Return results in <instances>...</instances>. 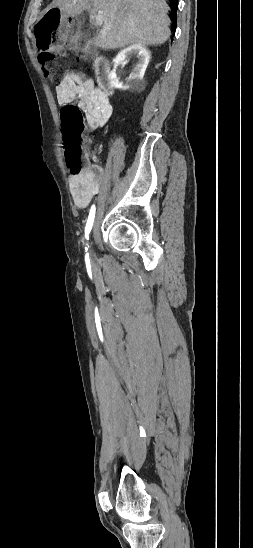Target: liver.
Wrapping results in <instances>:
<instances>
[{
	"mask_svg": "<svg viewBox=\"0 0 253 548\" xmlns=\"http://www.w3.org/2000/svg\"><path fill=\"white\" fill-rule=\"evenodd\" d=\"M63 17L89 12L90 28L101 27L91 43L104 50L133 44L161 45L170 37L169 9L164 0H53ZM102 16V21L97 16Z\"/></svg>",
	"mask_w": 253,
	"mask_h": 548,
	"instance_id": "1",
	"label": "liver"
}]
</instances>
